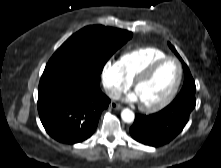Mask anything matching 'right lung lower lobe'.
Segmentation results:
<instances>
[{"label":"right lung lower lobe","mask_w":221,"mask_h":168,"mask_svg":"<svg viewBox=\"0 0 221 168\" xmlns=\"http://www.w3.org/2000/svg\"><path fill=\"white\" fill-rule=\"evenodd\" d=\"M100 72L83 62L47 64L38 88V113L55 140L75 144L89 138L110 103L99 87Z\"/></svg>","instance_id":"1"}]
</instances>
